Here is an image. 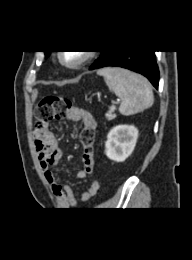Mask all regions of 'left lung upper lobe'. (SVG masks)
Wrapping results in <instances>:
<instances>
[{"label":"left lung upper lobe","instance_id":"5c2ea615","mask_svg":"<svg viewBox=\"0 0 192 260\" xmlns=\"http://www.w3.org/2000/svg\"><path fill=\"white\" fill-rule=\"evenodd\" d=\"M45 52V54H47L49 51H44Z\"/></svg>","mask_w":192,"mask_h":260}]
</instances>
